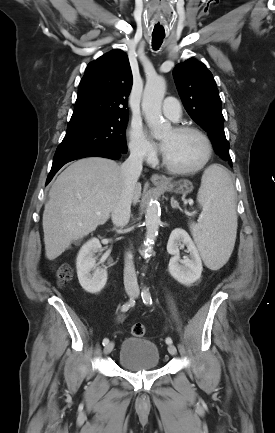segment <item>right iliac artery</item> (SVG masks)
I'll return each instance as SVG.
<instances>
[{
	"mask_svg": "<svg viewBox=\"0 0 275 433\" xmlns=\"http://www.w3.org/2000/svg\"><path fill=\"white\" fill-rule=\"evenodd\" d=\"M134 300L133 298H131L127 303H125L122 307H121V311L126 312L131 306L134 305ZM109 342L108 338H104L102 344L105 346L107 345Z\"/></svg>",
	"mask_w": 275,
	"mask_h": 433,
	"instance_id": "right-iliac-artery-1",
	"label": "right iliac artery"
}]
</instances>
